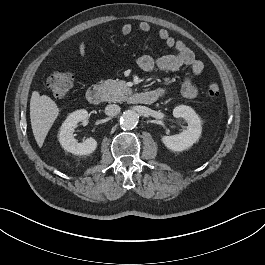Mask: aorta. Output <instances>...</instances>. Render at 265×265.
Here are the masks:
<instances>
[{
    "label": "aorta",
    "mask_w": 265,
    "mask_h": 265,
    "mask_svg": "<svg viewBox=\"0 0 265 265\" xmlns=\"http://www.w3.org/2000/svg\"><path fill=\"white\" fill-rule=\"evenodd\" d=\"M139 116L135 111L126 110L121 117L120 124L124 129H133L138 123Z\"/></svg>",
    "instance_id": "762f6f07"
}]
</instances>
